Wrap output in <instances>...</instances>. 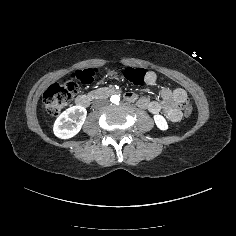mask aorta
Masks as SVG:
<instances>
[{
    "instance_id": "aorta-1",
    "label": "aorta",
    "mask_w": 236,
    "mask_h": 236,
    "mask_svg": "<svg viewBox=\"0 0 236 236\" xmlns=\"http://www.w3.org/2000/svg\"><path fill=\"white\" fill-rule=\"evenodd\" d=\"M110 101L114 104H117L120 101V97L118 95H113L111 96Z\"/></svg>"
}]
</instances>
